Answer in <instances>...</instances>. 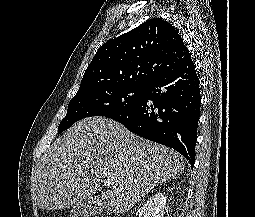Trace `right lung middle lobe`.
Listing matches in <instances>:
<instances>
[{
  "label": "right lung middle lobe",
  "instance_id": "obj_1",
  "mask_svg": "<svg viewBox=\"0 0 255 217\" xmlns=\"http://www.w3.org/2000/svg\"><path fill=\"white\" fill-rule=\"evenodd\" d=\"M145 90L146 86H111L78 91L68 104L58 134L86 117H106L132 107L142 99Z\"/></svg>",
  "mask_w": 255,
  "mask_h": 217
}]
</instances>
